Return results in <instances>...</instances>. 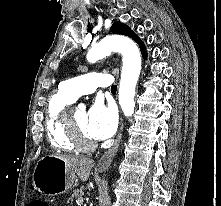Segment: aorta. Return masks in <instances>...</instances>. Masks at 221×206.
Here are the masks:
<instances>
[{
    "label": "aorta",
    "instance_id": "aorta-1",
    "mask_svg": "<svg viewBox=\"0 0 221 206\" xmlns=\"http://www.w3.org/2000/svg\"><path fill=\"white\" fill-rule=\"evenodd\" d=\"M111 52L122 54V73L119 88V104L126 117L134 112L135 87L141 70V55L137 45L129 38L121 35L106 36L93 45L87 55V61H96L108 56Z\"/></svg>",
    "mask_w": 221,
    "mask_h": 206
}]
</instances>
